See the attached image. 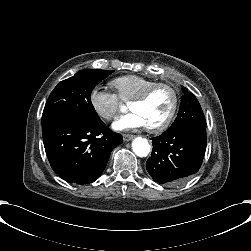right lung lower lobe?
<instances>
[{"label":"right lung lower lobe","instance_id":"1","mask_svg":"<svg viewBox=\"0 0 251 251\" xmlns=\"http://www.w3.org/2000/svg\"><path fill=\"white\" fill-rule=\"evenodd\" d=\"M42 134L54 172L80 185L93 183L101 176L111 151L123 141L102 121L91 123L81 119L63 121Z\"/></svg>","mask_w":251,"mask_h":251}]
</instances>
